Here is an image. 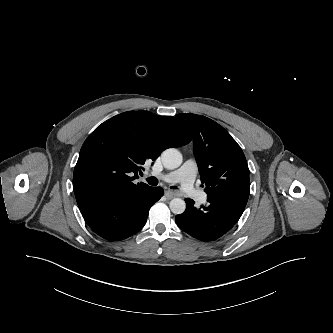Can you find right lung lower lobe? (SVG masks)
I'll return each mask as SVG.
<instances>
[{"label": "right lung lower lobe", "mask_w": 333, "mask_h": 333, "mask_svg": "<svg viewBox=\"0 0 333 333\" xmlns=\"http://www.w3.org/2000/svg\"><path fill=\"white\" fill-rule=\"evenodd\" d=\"M164 194L161 187L130 198H95L78 204L88 226L99 236L119 241L137 233L146 224L149 209Z\"/></svg>", "instance_id": "obj_1"}]
</instances>
